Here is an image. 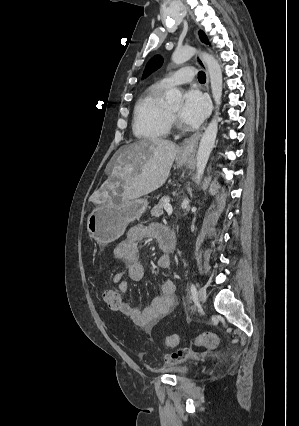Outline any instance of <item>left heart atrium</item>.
Here are the masks:
<instances>
[{
	"label": "left heart atrium",
	"mask_w": 299,
	"mask_h": 426,
	"mask_svg": "<svg viewBox=\"0 0 299 426\" xmlns=\"http://www.w3.org/2000/svg\"><path fill=\"white\" fill-rule=\"evenodd\" d=\"M208 112L206 98L195 89L186 92L184 104L180 110V118L189 125L200 124Z\"/></svg>",
	"instance_id": "1"
}]
</instances>
